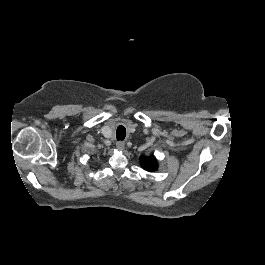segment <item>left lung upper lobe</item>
Returning <instances> with one entry per match:
<instances>
[{
  "instance_id": "1",
  "label": "left lung upper lobe",
  "mask_w": 265,
  "mask_h": 265,
  "mask_svg": "<svg viewBox=\"0 0 265 265\" xmlns=\"http://www.w3.org/2000/svg\"><path fill=\"white\" fill-rule=\"evenodd\" d=\"M141 166L147 171H155L158 168L156 159L153 156H144L140 159Z\"/></svg>"
}]
</instances>
